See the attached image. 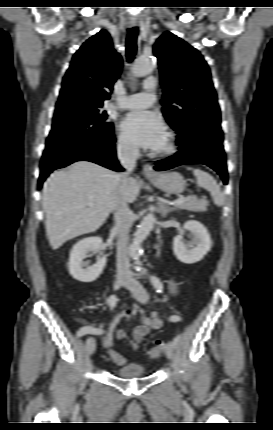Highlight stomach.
<instances>
[{"mask_svg": "<svg viewBox=\"0 0 273 430\" xmlns=\"http://www.w3.org/2000/svg\"><path fill=\"white\" fill-rule=\"evenodd\" d=\"M154 186L169 194H178L184 190L185 181L177 172L156 173L148 177Z\"/></svg>", "mask_w": 273, "mask_h": 430, "instance_id": "1", "label": "stomach"}]
</instances>
